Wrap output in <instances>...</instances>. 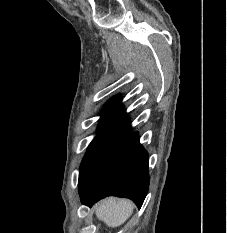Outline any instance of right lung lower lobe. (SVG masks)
I'll use <instances>...</instances> for the list:
<instances>
[{
	"label": "right lung lower lobe",
	"instance_id": "1",
	"mask_svg": "<svg viewBox=\"0 0 227 233\" xmlns=\"http://www.w3.org/2000/svg\"><path fill=\"white\" fill-rule=\"evenodd\" d=\"M148 164L138 132L119 138L79 184L82 203L92 206L112 195L129 198L140 208L149 188Z\"/></svg>",
	"mask_w": 227,
	"mask_h": 233
}]
</instances>
